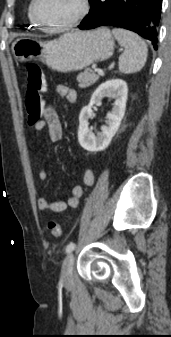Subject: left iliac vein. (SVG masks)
<instances>
[{
  "instance_id": "1",
  "label": "left iliac vein",
  "mask_w": 171,
  "mask_h": 337,
  "mask_svg": "<svg viewBox=\"0 0 171 337\" xmlns=\"http://www.w3.org/2000/svg\"><path fill=\"white\" fill-rule=\"evenodd\" d=\"M74 255L69 253L63 261L61 270V281L69 286L73 280Z\"/></svg>"
}]
</instances>
